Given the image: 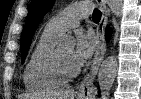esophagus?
Returning <instances> with one entry per match:
<instances>
[{"instance_id": "1", "label": "esophagus", "mask_w": 141, "mask_h": 99, "mask_svg": "<svg viewBox=\"0 0 141 99\" xmlns=\"http://www.w3.org/2000/svg\"><path fill=\"white\" fill-rule=\"evenodd\" d=\"M96 2L102 12V15L96 32L97 48L95 51L94 59L91 64L90 71L85 76L78 89V95L83 98H88L95 92L94 79L104 58L107 47L105 41V30L108 24L109 10L106 6L105 0H96Z\"/></svg>"}]
</instances>
